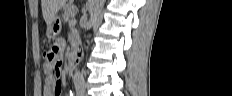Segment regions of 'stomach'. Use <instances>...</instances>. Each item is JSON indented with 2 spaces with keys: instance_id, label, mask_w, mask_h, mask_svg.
Segmentation results:
<instances>
[{
  "instance_id": "obj_1",
  "label": "stomach",
  "mask_w": 232,
  "mask_h": 96,
  "mask_svg": "<svg viewBox=\"0 0 232 96\" xmlns=\"http://www.w3.org/2000/svg\"><path fill=\"white\" fill-rule=\"evenodd\" d=\"M61 29V22L57 17L54 18V20L48 24V37L50 39H55V37L59 34Z\"/></svg>"
}]
</instances>
